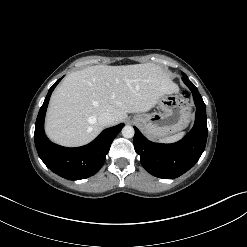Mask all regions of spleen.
I'll return each mask as SVG.
<instances>
[{"label": "spleen", "instance_id": "3e777b00", "mask_svg": "<svg viewBox=\"0 0 247 247\" xmlns=\"http://www.w3.org/2000/svg\"><path fill=\"white\" fill-rule=\"evenodd\" d=\"M185 135V132H181L178 134H175L173 136L164 138V139H160L159 142L160 143H174L177 142L178 140H180L183 136Z\"/></svg>", "mask_w": 247, "mask_h": 247}]
</instances>
